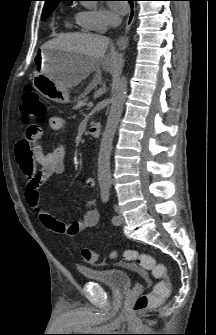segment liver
<instances>
[{
	"mask_svg": "<svg viewBox=\"0 0 216 335\" xmlns=\"http://www.w3.org/2000/svg\"><path fill=\"white\" fill-rule=\"evenodd\" d=\"M110 40L102 35L87 33H68L58 35L45 43L42 48H51L74 54L68 68L52 78L63 88L78 85L90 73L96 71V78L101 75L100 68L112 73L121 55L116 52L106 53Z\"/></svg>",
	"mask_w": 216,
	"mask_h": 335,
	"instance_id": "obj_1",
	"label": "liver"
}]
</instances>
